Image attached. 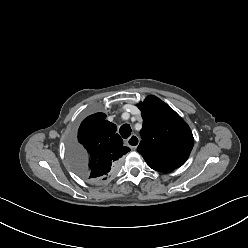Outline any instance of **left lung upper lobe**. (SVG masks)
Wrapping results in <instances>:
<instances>
[{
    "label": "left lung upper lobe",
    "instance_id": "obj_1",
    "mask_svg": "<svg viewBox=\"0 0 248 248\" xmlns=\"http://www.w3.org/2000/svg\"><path fill=\"white\" fill-rule=\"evenodd\" d=\"M143 127L137 151L160 172H172L185 163L193 148V135L185 121L166 103L148 96L138 104Z\"/></svg>",
    "mask_w": 248,
    "mask_h": 248
}]
</instances>
